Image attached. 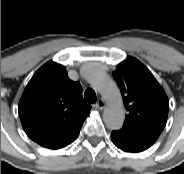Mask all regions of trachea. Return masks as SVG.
<instances>
[{
	"label": "trachea",
	"mask_w": 184,
	"mask_h": 174,
	"mask_svg": "<svg viewBox=\"0 0 184 174\" xmlns=\"http://www.w3.org/2000/svg\"><path fill=\"white\" fill-rule=\"evenodd\" d=\"M84 99L88 103H95L96 102V93L93 89L88 88L84 93Z\"/></svg>",
	"instance_id": "trachea-1"
}]
</instances>
